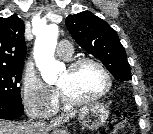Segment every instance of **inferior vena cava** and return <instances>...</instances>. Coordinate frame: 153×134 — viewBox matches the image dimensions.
<instances>
[{"mask_svg":"<svg viewBox=\"0 0 153 134\" xmlns=\"http://www.w3.org/2000/svg\"><path fill=\"white\" fill-rule=\"evenodd\" d=\"M29 118L31 120L35 119V117L32 114H28ZM46 128V124L43 120H39L36 122L30 123L29 133L30 134H43Z\"/></svg>","mask_w":153,"mask_h":134,"instance_id":"obj_1","label":"inferior vena cava"}]
</instances>
